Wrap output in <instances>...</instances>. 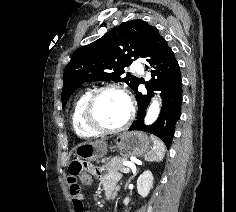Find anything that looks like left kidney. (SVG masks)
I'll use <instances>...</instances> for the list:
<instances>
[{
    "label": "left kidney",
    "instance_id": "obj_1",
    "mask_svg": "<svg viewBox=\"0 0 236 212\" xmlns=\"http://www.w3.org/2000/svg\"><path fill=\"white\" fill-rule=\"evenodd\" d=\"M153 179V175L149 170L144 171L139 176L137 180V191L143 198L149 194L151 188L153 187Z\"/></svg>",
    "mask_w": 236,
    "mask_h": 212
}]
</instances>
